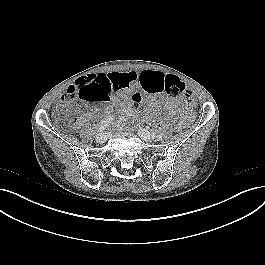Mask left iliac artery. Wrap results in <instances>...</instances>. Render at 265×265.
I'll use <instances>...</instances> for the list:
<instances>
[{
	"mask_svg": "<svg viewBox=\"0 0 265 265\" xmlns=\"http://www.w3.org/2000/svg\"><path fill=\"white\" fill-rule=\"evenodd\" d=\"M154 137V134L152 135ZM162 137L161 136H157V140H161Z\"/></svg>",
	"mask_w": 265,
	"mask_h": 265,
	"instance_id": "1",
	"label": "left iliac artery"
}]
</instances>
